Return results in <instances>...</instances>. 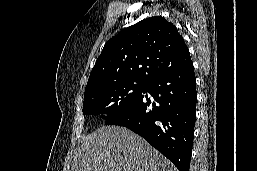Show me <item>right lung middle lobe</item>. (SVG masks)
<instances>
[{
  "mask_svg": "<svg viewBox=\"0 0 257 171\" xmlns=\"http://www.w3.org/2000/svg\"><path fill=\"white\" fill-rule=\"evenodd\" d=\"M147 83L126 82L96 88L84 93L83 113L104 114L106 120L120 114L145 91Z\"/></svg>",
  "mask_w": 257,
  "mask_h": 171,
  "instance_id": "dd1d6c3e",
  "label": "right lung middle lobe"
}]
</instances>
